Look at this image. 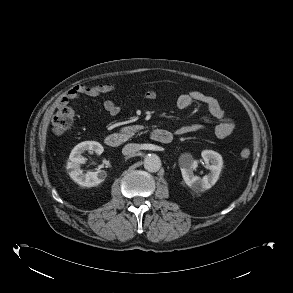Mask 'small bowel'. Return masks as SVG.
<instances>
[{
  "instance_id": "1",
  "label": "small bowel",
  "mask_w": 293,
  "mask_h": 293,
  "mask_svg": "<svg viewBox=\"0 0 293 293\" xmlns=\"http://www.w3.org/2000/svg\"><path fill=\"white\" fill-rule=\"evenodd\" d=\"M115 90V85L111 83L105 84H81L72 87L68 90L59 100L58 106L68 105L71 101L79 99L83 96L98 97L103 94L111 93ZM144 100H154L157 97V92L154 88L148 89L143 94ZM194 103H202L206 106L212 117L216 120L214 126L215 135L224 139L229 137L235 129V123L232 119L225 115V112L220 105L219 101L210 95H207L199 90H192L189 93L182 94L178 97L176 105L179 109H187ZM104 110L111 116H116L120 112V106L113 100H105L103 103ZM205 127L202 124H191L180 127L177 131V135H185L189 133H195L204 130Z\"/></svg>"
}]
</instances>
